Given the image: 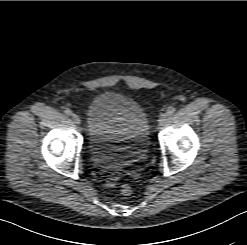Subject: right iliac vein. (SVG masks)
I'll return each mask as SVG.
<instances>
[{
	"label": "right iliac vein",
	"instance_id": "obj_1",
	"mask_svg": "<svg viewBox=\"0 0 247 245\" xmlns=\"http://www.w3.org/2000/svg\"><path fill=\"white\" fill-rule=\"evenodd\" d=\"M72 120L76 125H79L81 123V120L77 114H72Z\"/></svg>",
	"mask_w": 247,
	"mask_h": 245
}]
</instances>
